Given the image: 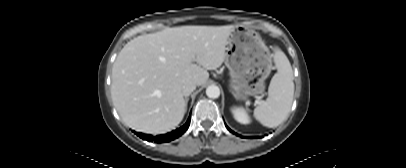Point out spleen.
<instances>
[{
  "label": "spleen",
  "mask_w": 406,
  "mask_h": 168,
  "mask_svg": "<svg viewBox=\"0 0 406 168\" xmlns=\"http://www.w3.org/2000/svg\"><path fill=\"white\" fill-rule=\"evenodd\" d=\"M273 58L277 72L271 79L268 98L254 109L255 119L268 128L287 119L294 96L293 71L287 56L275 48Z\"/></svg>",
  "instance_id": "obj_1"
}]
</instances>
